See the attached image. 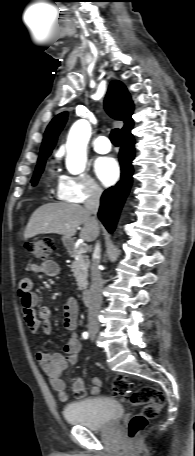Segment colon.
Returning <instances> with one entry per match:
<instances>
[{"mask_svg":"<svg viewBox=\"0 0 195 456\" xmlns=\"http://www.w3.org/2000/svg\"><path fill=\"white\" fill-rule=\"evenodd\" d=\"M25 249L35 257L47 260L54 250V241L49 237H43L26 243ZM112 393L131 405L142 406L141 412L134 415L128 423L127 436L130 440L136 439L144 431L149 420L159 415L166 401L164 392L155 387L145 386L132 392L131 382L126 376L114 378Z\"/></svg>","mask_w":195,"mask_h":456,"instance_id":"1","label":"colon"}]
</instances>
